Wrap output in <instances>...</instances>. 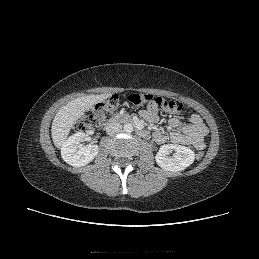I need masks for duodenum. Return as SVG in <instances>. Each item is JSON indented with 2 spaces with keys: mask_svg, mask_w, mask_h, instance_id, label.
Masks as SVG:
<instances>
[{
  "mask_svg": "<svg viewBox=\"0 0 259 259\" xmlns=\"http://www.w3.org/2000/svg\"><path fill=\"white\" fill-rule=\"evenodd\" d=\"M118 121H125V122H132L136 125L137 128V132L140 136L145 137L148 135L147 130L135 119L131 118L128 115H122V116H115L110 118L106 123L105 126L109 127L111 125H113L114 123L118 122Z\"/></svg>",
  "mask_w": 259,
  "mask_h": 259,
  "instance_id": "duodenum-1",
  "label": "duodenum"
}]
</instances>
